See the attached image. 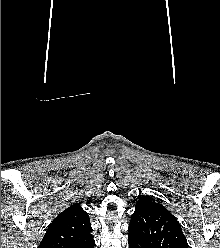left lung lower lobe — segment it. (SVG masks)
Returning <instances> with one entry per match:
<instances>
[{"mask_svg": "<svg viewBox=\"0 0 220 248\" xmlns=\"http://www.w3.org/2000/svg\"><path fill=\"white\" fill-rule=\"evenodd\" d=\"M128 243L130 248H148L144 243L137 239L131 232L128 235Z\"/></svg>", "mask_w": 220, "mask_h": 248, "instance_id": "0a47b994", "label": "left lung lower lobe"}]
</instances>
